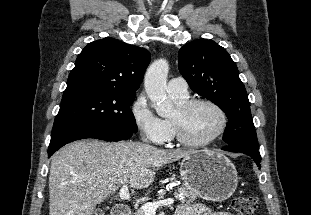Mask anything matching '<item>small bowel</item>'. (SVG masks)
I'll use <instances>...</instances> for the list:
<instances>
[{"label":"small bowel","mask_w":311,"mask_h":215,"mask_svg":"<svg viewBox=\"0 0 311 215\" xmlns=\"http://www.w3.org/2000/svg\"><path fill=\"white\" fill-rule=\"evenodd\" d=\"M175 215H233L228 212H216L210 208L196 204V205H181L177 208Z\"/></svg>","instance_id":"small-bowel-1"}]
</instances>
